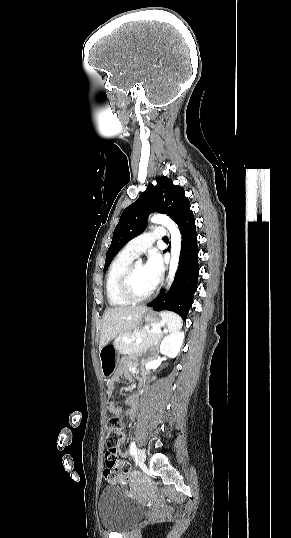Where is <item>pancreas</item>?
<instances>
[{"label":"pancreas","instance_id":"cf45deb5","mask_svg":"<svg viewBox=\"0 0 291 538\" xmlns=\"http://www.w3.org/2000/svg\"><path fill=\"white\" fill-rule=\"evenodd\" d=\"M161 336L162 333L160 332H150L149 328H143L121 336L120 339L115 342V347L121 354H134L142 352L154 345L160 340ZM124 337L131 340L141 338L142 341L139 344H129L123 340Z\"/></svg>","mask_w":291,"mask_h":538}]
</instances>
